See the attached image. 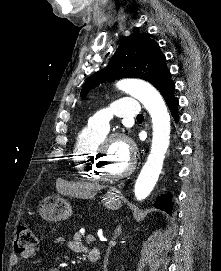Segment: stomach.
Returning <instances> with one entry per match:
<instances>
[{"label": "stomach", "mask_w": 221, "mask_h": 271, "mask_svg": "<svg viewBox=\"0 0 221 271\" xmlns=\"http://www.w3.org/2000/svg\"><path fill=\"white\" fill-rule=\"evenodd\" d=\"M118 189H109L105 193L104 205L107 209H119L122 205L120 193ZM72 213V207L69 201L63 197H44V203L40 207V215L48 221H57L63 217H69Z\"/></svg>", "instance_id": "1"}]
</instances>
